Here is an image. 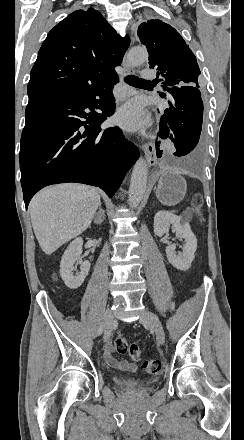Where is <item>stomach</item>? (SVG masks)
I'll list each match as a JSON object with an SVG mask.
<instances>
[{
    "mask_svg": "<svg viewBox=\"0 0 244 440\" xmlns=\"http://www.w3.org/2000/svg\"><path fill=\"white\" fill-rule=\"evenodd\" d=\"M187 192L185 178L176 170H161L156 196L164 206H176Z\"/></svg>",
    "mask_w": 244,
    "mask_h": 440,
    "instance_id": "obj_1",
    "label": "stomach"
}]
</instances>
